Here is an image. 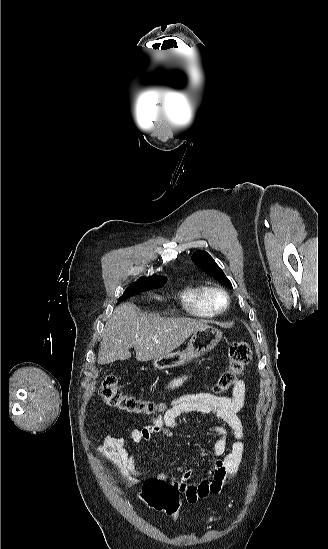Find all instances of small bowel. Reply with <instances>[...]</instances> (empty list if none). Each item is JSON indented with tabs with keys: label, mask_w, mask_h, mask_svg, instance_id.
Wrapping results in <instances>:
<instances>
[{
	"label": "small bowel",
	"mask_w": 328,
	"mask_h": 549,
	"mask_svg": "<svg viewBox=\"0 0 328 549\" xmlns=\"http://www.w3.org/2000/svg\"><path fill=\"white\" fill-rule=\"evenodd\" d=\"M192 376V372L178 376L169 381L166 388L176 389L190 380ZM245 393V382L238 379L230 397L217 396L207 392L182 395L173 399L163 414L152 418L142 429L131 428L129 430L131 439L142 447L146 443H156L158 438H171L173 429L178 426L177 418L182 414L211 415L221 422L212 427V431L218 436L213 448L198 453L200 457L212 459L213 467L208 471L207 477L200 481H190L191 469L177 467L176 470L180 476L171 478V482L179 488L188 503L194 504L210 495H218L227 480L237 474L244 452V430L238 413L244 406ZM230 433L234 441L227 451ZM98 450L102 459L114 470L124 486L136 485L140 482L141 477L148 474L146 468L137 465L139 454L128 451L124 440L117 435H106ZM153 459L155 460V458ZM158 478L166 479L167 477L164 474H159Z\"/></svg>",
	"instance_id": "c3829d8e"
}]
</instances>
